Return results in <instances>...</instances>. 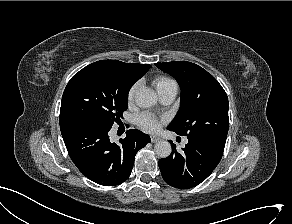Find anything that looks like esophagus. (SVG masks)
<instances>
[{
  "label": "esophagus",
  "instance_id": "34e87169",
  "mask_svg": "<svg viewBox=\"0 0 292 224\" xmlns=\"http://www.w3.org/2000/svg\"><path fill=\"white\" fill-rule=\"evenodd\" d=\"M160 140H161L160 137H158V136H156V135H151V142H152V143H156V142H158V141H160Z\"/></svg>",
  "mask_w": 292,
  "mask_h": 224
}]
</instances>
